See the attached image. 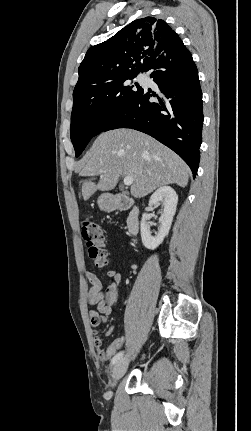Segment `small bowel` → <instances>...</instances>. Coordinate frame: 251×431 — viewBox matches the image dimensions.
Segmentation results:
<instances>
[{
  "label": "small bowel",
  "mask_w": 251,
  "mask_h": 431,
  "mask_svg": "<svg viewBox=\"0 0 251 431\" xmlns=\"http://www.w3.org/2000/svg\"><path fill=\"white\" fill-rule=\"evenodd\" d=\"M106 275L110 278V281L105 292H102V282L98 276L91 271L86 273V277L92 285L88 293V303L96 306V309L89 311L90 324L94 330L101 324L108 322L112 313V306L116 304L119 295L121 274L117 270L110 268L106 271ZM114 329L115 324H111L105 332V337L110 336ZM94 335L95 345L100 348L102 339L97 336L96 331H94ZM106 352L107 349L96 352V357L101 359V363H106V358H104Z\"/></svg>",
  "instance_id": "small-bowel-1"
}]
</instances>
